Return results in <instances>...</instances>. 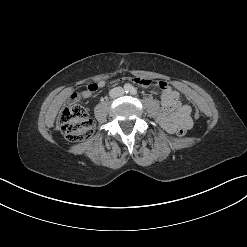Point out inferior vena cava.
<instances>
[{
    "label": "inferior vena cava",
    "mask_w": 247,
    "mask_h": 247,
    "mask_svg": "<svg viewBox=\"0 0 247 247\" xmlns=\"http://www.w3.org/2000/svg\"><path fill=\"white\" fill-rule=\"evenodd\" d=\"M124 94V89L122 87H115L110 90L109 95L112 98L122 96Z\"/></svg>",
    "instance_id": "602c4592"
}]
</instances>
